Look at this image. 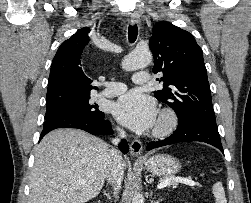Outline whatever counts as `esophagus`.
I'll list each match as a JSON object with an SVG mask.
<instances>
[{
    "mask_svg": "<svg viewBox=\"0 0 251 203\" xmlns=\"http://www.w3.org/2000/svg\"><path fill=\"white\" fill-rule=\"evenodd\" d=\"M140 23V18L136 14L131 15V24H139ZM142 143L138 139H133L130 143V154L134 158L141 159L142 158Z\"/></svg>",
    "mask_w": 251,
    "mask_h": 203,
    "instance_id": "1",
    "label": "esophagus"
}]
</instances>
